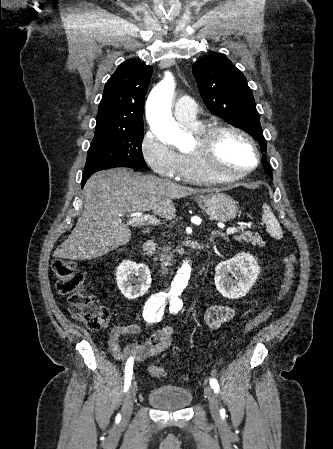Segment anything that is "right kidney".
<instances>
[{
	"label": "right kidney",
	"mask_w": 333,
	"mask_h": 449,
	"mask_svg": "<svg viewBox=\"0 0 333 449\" xmlns=\"http://www.w3.org/2000/svg\"><path fill=\"white\" fill-rule=\"evenodd\" d=\"M116 280L119 290L126 298L136 299L148 291L151 274L145 264L125 260L117 268Z\"/></svg>",
	"instance_id": "ca27d5eb"
}]
</instances>
